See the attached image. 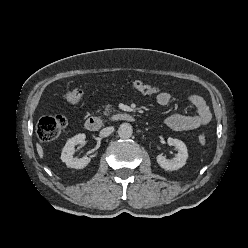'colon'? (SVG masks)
I'll list each match as a JSON object with an SVG mask.
<instances>
[{
	"mask_svg": "<svg viewBox=\"0 0 248 248\" xmlns=\"http://www.w3.org/2000/svg\"><path fill=\"white\" fill-rule=\"evenodd\" d=\"M132 87L136 91L146 95H151L158 92L157 87L141 81L134 82ZM64 98L71 104H77L83 100L84 92L80 89L69 90L65 93ZM66 123L67 121L65 117L61 115L42 117L36 127L37 135L41 141H52L59 136L61 131L65 128ZM198 142L201 146L205 145L206 137L204 135H200L198 137Z\"/></svg>",
	"mask_w": 248,
	"mask_h": 248,
	"instance_id": "5ec220e1",
	"label": "colon"
}]
</instances>
